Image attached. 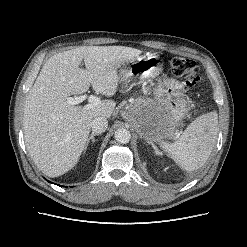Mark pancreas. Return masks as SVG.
<instances>
[{
  "label": "pancreas",
  "mask_w": 247,
  "mask_h": 247,
  "mask_svg": "<svg viewBox=\"0 0 247 247\" xmlns=\"http://www.w3.org/2000/svg\"><path fill=\"white\" fill-rule=\"evenodd\" d=\"M135 104H136V102L131 103V105H135Z\"/></svg>",
  "instance_id": "1"
}]
</instances>
